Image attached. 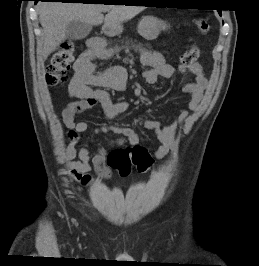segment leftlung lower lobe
Masks as SVG:
<instances>
[{
    "mask_svg": "<svg viewBox=\"0 0 259 266\" xmlns=\"http://www.w3.org/2000/svg\"><path fill=\"white\" fill-rule=\"evenodd\" d=\"M218 12L221 14V10H218Z\"/></svg>",
    "mask_w": 259,
    "mask_h": 266,
    "instance_id": "left-lung-lower-lobe-1",
    "label": "left lung lower lobe"
}]
</instances>
